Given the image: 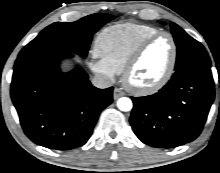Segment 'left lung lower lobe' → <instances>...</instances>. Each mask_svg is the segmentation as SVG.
<instances>
[{"label":"left lung lower lobe","instance_id":"left-lung-lower-lobe-1","mask_svg":"<svg viewBox=\"0 0 220 173\" xmlns=\"http://www.w3.org/2000/svg\"><path fill=\"white\" fill-rule=\"evenodd\" d=\"M130 124L145 144L174 148L195 140L214 100L210 64L177 71L156 94L132 97Z\"/></svg>","mask_w":220,"mask_h":173}]
</instances>
